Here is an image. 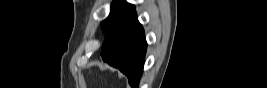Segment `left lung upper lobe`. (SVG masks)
<instances>
[{"label":"left lung upper lobe","instance_id":"5c2ea615","mask_svg":"<svg viewBox=\"0 0 267 88\" xmlns=\"http://www.w3.org/2000/svg\"><path fill=\"white\" fill-rule=\"evenodd\" d=\"M133 9L134 6L124 0H116L113 2L109 16L101 22V28L104 34L106 35L109 33L118 24V22Z\"/></svg>","mask_w":267,"mask_h":88}]
</instances>
